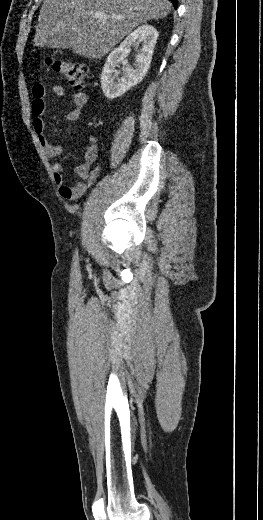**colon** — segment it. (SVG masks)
Here are the masks:
<instances>
[{"mask_svg":"<svg viewBox=\"0 0 263 520\" xmlns=\"http://www.w3.org/2000/svg\"><path fill=\"white\" fill-rule=\"evenodd\" d=\"M45 62L63 76L72 88L76 90L83 88L89 72L87 65L57 58H47Z\"/></svg>","mask_w":263,"mask_h":520,"instance_id":"obj_1","label":"colon"}]
</instances>
